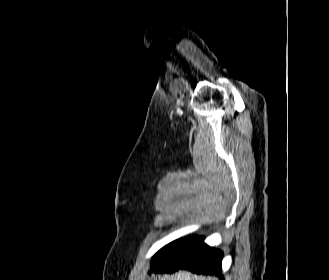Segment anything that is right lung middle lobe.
<instances>
[{"mask_svg": "<svg viewBox=\"0 0 329 280\" xmlns=\"http://www.w3.org/2000/svg\"><path fill=\"white\" fill-rule=\"evenodd\" d=\"M174 242L166 245L165 247H163L161 250H159L155 256L153 257L152 259V263H151V268L156 265L160 259L162 258V256L167 252V250L171 247V245L173 244Z\"/></svg>", "mask_w": 329, "mask_h": 280, "instance_id": "1", "label": "right lung middle lobe"}]
</instances>
